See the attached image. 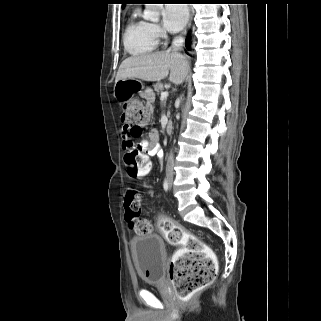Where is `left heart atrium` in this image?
<instances>
[{
    "instance_id": "1",
    "label": "left heart atrium",
    "mask_w": 321,
    "mask_h": 321,
    "mask_svg": "<svg viewBox=\"0 0 321 321\" xmlns=\"http://www.w3.org/2000/svg\"><path fill=\"white\" fill-rule=\"evenodd\" d=\"M188 19V9L183 4H167L163 12L164 27L170 32L180 31Z\"/></svg>"
}]
</instances>
